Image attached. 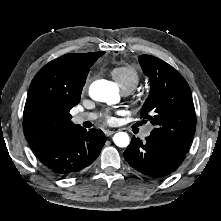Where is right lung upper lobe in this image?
I'll return each instance as SVG.
<instances>
[{"label":"right lung upper lobe","instance_id":"cb5924a9","mask_svg":"<svg viewBox=\"0 0 221 221\" xmlns=\"http://www.w3.org/2000/svg\"><path fill=\"white\" fill-rule=\"evenodd\" d=\"M105 52L70 53L46 64L29 87L24 108L25 137L36 156L78 127L70 110L80 101L90 67Z\"/></svg>","mask_w":221,"mask_h":221}]
</instances>
